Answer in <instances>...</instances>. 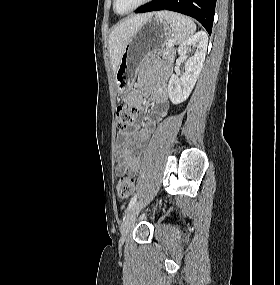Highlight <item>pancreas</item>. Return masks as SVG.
<instances>
[{
    "instance_id": "pancreas-1",
    "label": "pancreas",
    "mask_w": 280,
    "mask_h": 285,
    "mask_svg": "<svg viewBox=\"0 0 280 285\" xmlns=\"http://www.w3.org/2000/svg\"><path fill=\"white\" fill-rule=\"evenodd\" d=\"M156 52L161 55L164 59L168 61H173L175 56V49L166 45V48H161L156 50Z\"/></svg>"
}]
</instances>
